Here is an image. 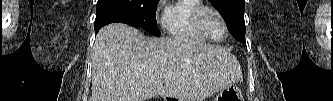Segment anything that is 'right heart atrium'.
<instances>
[{
    "instance_id": "right-heart-atrium-1",
    "label": "right heart atrium",
    "mask_w": 333,
    "mask_h": 101,
    "mask_svg": "<svg viewBox=\"0 0 333 101\" xmlns=\"http://www.w3.org/2000/svg\"><path fill=\"white\" fill-rule=\"evenodd\" d=\"M165 19H166L165 14L162 13L161 16H160V22H161L162 24H164V23H165Z\"/></svg>"
}]
</instances>
